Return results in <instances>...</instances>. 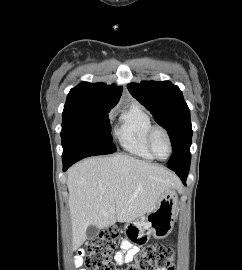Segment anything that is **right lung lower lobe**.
<instances>
[{
	"label": "right lung lower lobe",
	"mask_w": 242,
	"mask_h": 270,
	"mask_svg": "<svg viewBox=\"0 0 242 270\" xmlns=\"http://www.w3.org/2000/svg\"><path fill=\"white\" fill-rule=\"evenodd\" d=\"M73 163H75V161L63 162V170H67Z\"/></svg>",
	"instance_id": "obj_1"
}]
</instances>
